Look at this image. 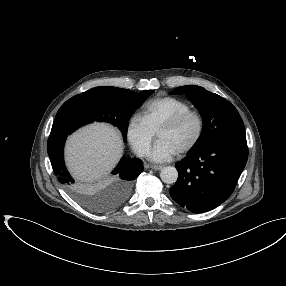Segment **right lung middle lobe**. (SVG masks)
Masks as SVG:
<instances>
[{
	"label": "right lung middle lobe",
	"mask_w": 286,
	"mask_h": 286,
	"mask_svg": "<svg viewBox=\"0 0 286 286\" xmlns=\"http://www.w3.org/2000/svg\"><path fill=\"white\" fill-rule=\"evenodd\" d=\"M153 92V90H145L136 93L117 87H95L66 101L58 110L54 123L64 130L73 132L93 121L107 122L117 126L126 141L129 118ZM130 190L127 195L123 196L124 190L123 187H120L117 202L126 200ZM78 198L83 205L91 210L103 211L107 209L106 204L98 197L80 194ZM114 206L116 203L112 205V207Z\"/></svg>",
	"instance_id": "right-lung-middle-lobe-1"
}]
</instances>
